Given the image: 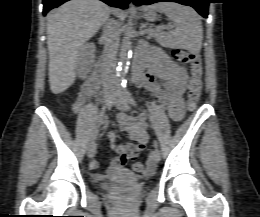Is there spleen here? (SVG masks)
<instances>
[{"instance_id": "spleen-1", "label": "spleen", "mask_w": 260, "mask_h": 217, "mask_svg": "<svg viewBox=\"0 0 260 217\" xmlns=\"http://www.w3.org/2000/svg\"><path fill=\"white\" fill-rule=\"evenodd\" d=\"M151 9L164 13L175 25L169 32H160L158 42L165 47L182 48L199 52L203 40V28L196 11L178 3H157Z\"/></svg>"}]
</instances>
